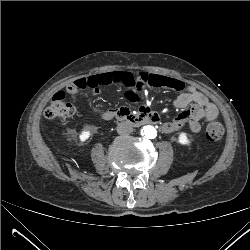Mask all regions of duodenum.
Listing matches in <instances>:
<instances>
[{
    "label": "duodenum",
    "instance_id": "410a0bca",
    "mask_svg": "<svg viewBox=\"0 0 250 250\" xmlns=\"http://www.w3.org/2000/svg\"><path fill=\"white\" fill-rule=\"evenodd\" d=\"M121 116L127 117L131 122L135 124H156L158 122V117L155 112L147 111L142 115L133 116L129 111L124 109H108L103 112L102 119L105 121L112 120L114 118H119Z\"/></svg>",
    "mask_w": 250,
    "mask_h": 250
}]
</instances>
